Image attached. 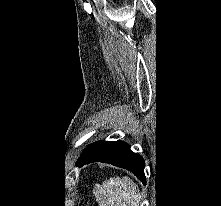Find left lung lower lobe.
<instances>
[{
    "mask_svg": "<svg viewBox=\"0 0 221 206\" xmlns=\"http://www.w3.org/2000/svg\"><path fill=\"white\" fill-rule=\"evenodd\" d=\"M105 162L133 172L145 185L144 160L130 150V146L123 141H99L86 148L77 161L83 166L91 162Z\"/></svg>",
    "mask_w": 221,
    "mask_h": 206,
    "instance_id": "1",
    "label": "left lung lower lobe"
}]
</instances>
